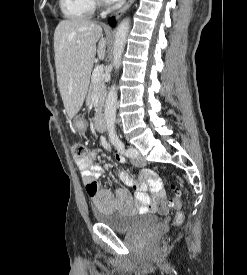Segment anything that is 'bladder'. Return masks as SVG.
Masks as SVG:
<instances>
[{"instance_id":"bladder-1","label":"bladder","mask_w":247,"mask_h":275,"mask_svg":"<svg viewBox=\"0 0 247 275\" xmlns=\"http://www.w3.org/2000/svg\"><path fill=\"white\" fill-rule=\"evenodd\" d=\"M98 224L106 225L117 232L129 233L140 227H149L160 220L156 215H141L139 213L118 214L95 209L93 212Z\"/></svg>"}]
</instances>
